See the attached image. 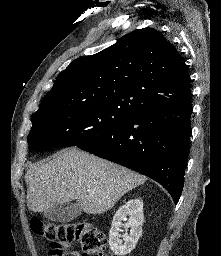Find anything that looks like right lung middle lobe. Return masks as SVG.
<instances>
[{
  "instance_id": "1",
  "label": "right lung middle lobe",
  "mask_w": 221,
  "mask_h": 256,
  "mask_svg": "<svg viewBox=\"0 0 221 256\" xmlns=\"http://www.w3.org/2000/svg\"><path fill=\"white\" fill-rule=\"evenodd\" d=\"M135 115L128 108L109 104H81L34 115L29 148L78 146Z\"/></svg>"
}]
</instances>
